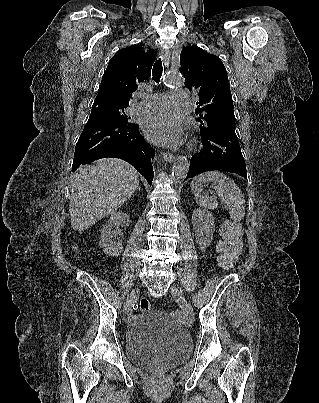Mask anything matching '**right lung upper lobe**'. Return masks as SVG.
Instances as JSON below:
<instances>
[{"label":"right lung upper lobe","mask_w":319,"mask_h":403,"mask_svg":"<svg viewBox=\"0 0 319 403\" xmlns=\"http://www.w3.org/2000/svg\"><path fill=\"white\" fill-rule=\"evenodd\" d=\"M155 57L154 50L146 53L140 45L119 50L108 63L93 104L129 106L137 85L149 78Z\"/></svg>","instance_id":"right-lung-upper-lobe-1"}]
</instances>
